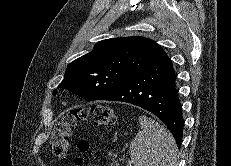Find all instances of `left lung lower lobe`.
<instances>
[{
    "instance_id": "0a47b994",
    "label": "left lung lower lobe",
    "mask_w": 231,
    "mask_h": 166,
    "mask_svg": "<svg viewBox=\"0 0 231 166\" xmlns=\"http://www.w3.org/2000/svg\"><path fill=\"white\" fill-rule=\"evenodd\" d=\"M98 100L127 102L150 111L167 125L180 148L184 125L182 108L175 71L165 52Z\"/></svg>"
}]
</instances>
